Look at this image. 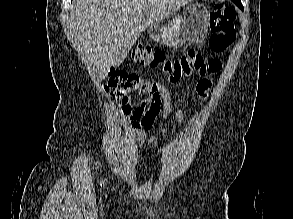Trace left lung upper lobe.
Wrapping results in <instances>:
<instances>
[{"label": "left lung upper lobe", "instance_id": "1", "mask_svg": "<svg viewBox=\"0 0 293 219\" xmlns=\"http://www.w3.org/2000/svg\"><path fill=\"white\" fill-rule=\"evenodd\" d=\"M235 4L241 3L240 0H232Z\"/></svg>", "mask_w": 293, "mask_h": 219}]
</instances>
